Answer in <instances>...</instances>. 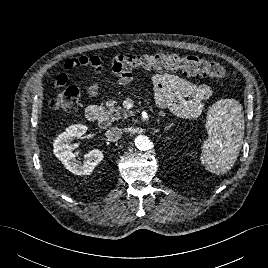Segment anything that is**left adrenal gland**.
Segmentation results:
<instances>
[{
	"label": "left adrenal gland",
	"instance_id": "a2214340",
	"mask_svg": "<svg viewBox=\"0 0 268 268\" xmlns=\"http://www.w3.org/2000/svg\"><path fill=\"white\" fill-rule=\"evenodd\" d=\"M173 125H174V124L171 123L170 125L166 126V127H165V130H169Z\"/></svg>",
	"mask_w": 268,
	"mask_h": 268
}]
</instances>
